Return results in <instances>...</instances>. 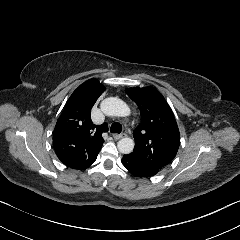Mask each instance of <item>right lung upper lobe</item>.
I'll return each mask as SVG.
<instances>
[{
    "mask_svg": "<svg viewBox=\"0 0 240 240\" xmlns=\"http://www.w3.org/2000/svg\"><path fill=\"white\" fill-rule=\"evenodd\" d=\"M104 90L97 79L87 80L72 93L57 120L53 146L60 161L70 168L86 169L101 150L108 126L93 124L91 109Z\"/></svg>",
    "mask_w": 240,
    "mask_h": 240,
    "instance_id": "right-lung-upper-lobe-1",
    "label": "right lung upper lobe"
}]
</instances>
